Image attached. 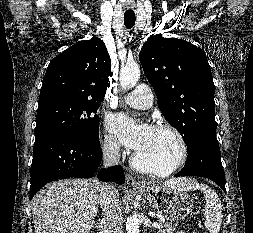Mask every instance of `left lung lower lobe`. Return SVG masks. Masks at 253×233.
Here are the masks:
<instances>
[{
    "label": "left lung lower lobe",
    "instance_id": "left-lung-lower-lobe-1",
    "mask_svg": "<svg viewBox=\"0 0 253 233\" xmlns=\"http://www.w3.org/2000/svg\"><path fill=\"white\" fill-rule=\"evenodd\" d=\"M179 176H200L213 180L225 192V176L217 140L202 137L188 149L187 161Z\"/></svg>",
    "mask_w": 253,
    "mask_h": 233
}]
</instances>
